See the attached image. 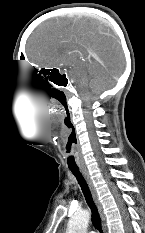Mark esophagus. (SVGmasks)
I'll return each instance as SVG.
<instances>
[{
	"instance_id": "obj_1",
	"label": "esophagus",
	"mask_w": 145,
	"mask_h": 233,
	"mask_svg": "<svg viewBox=\"0 0 145 233\" xmlns=\"http://www.w3.org/2000/svg\"><path fill=\"white\" fill-rule=\"evenodd\" d=\"M82 172H83L84 177L87 181L88 187H89L90 192H91L92 197H93V200H94L95 204L97 205L98 209L101 211V204H100V201L98 198V193L96 191V188L94 187L92 179H91V177L86 169H82Z\"/></svg>"
}]
</instances>
